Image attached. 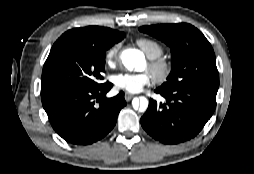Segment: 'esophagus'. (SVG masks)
Listing matches in <instances>:
<instances>
[{
  "label": "esophagus",
  "instance_id": "34e87169",
  "mask_svg": "<svg viewBox=\"0 0 254 174\" xmlns=\"http://www.w3.org/2000/svg\"><path fill=\"white\" fill-rule=\"evenodd\" d=\"M133 97H134L133 94H130V93H126V94H125V100H126V101H130Z\"/></svg>",
  "mask_w": 254,
  "mask_h": 174
}]
</instances>
